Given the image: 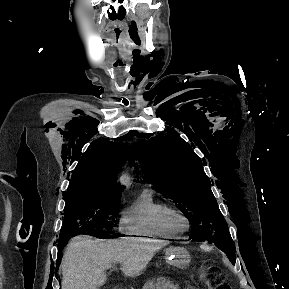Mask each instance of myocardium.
<instances>
[{"label": "myocardium", "mask_w": 289, "mask_h": 289, "mask_svg": "<svg viewBox=\"0 0 289 289\" xmlns=\"http://www.w3.org/2000/svg\"><path fill=\"white\" fill-rule=\"evenodd\" d=\"M172 216H179L180 218H182L186 223L185 228L182 230L174 229L171 225V222H170ZM160 220H161L163 226L168 231H170L171 233H173L175 235H182V234L188 232L190 229V220H189L188 216L186 215V213L183 210H181L180 208L175 207V206H166L160 214Z\"/></svg>", "instance_id": "myocardium-1"}]
</instances>
